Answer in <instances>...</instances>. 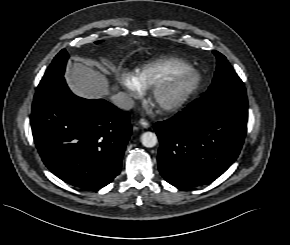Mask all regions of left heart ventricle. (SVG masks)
Segmentation results:
<instances>
[{"label": "left heart ventricle", "instance_id": "obj_1", "mask_svg": "<svg viewBox=\"0 0 290 245\" xmlns=\"http://www.w3.org/2000/svg\"><path fill=\"white\" fill-rule=\"evenodd\" d=\"M188 80L185 79L183 80L177 87L170 89L168 91H166L163 95H162V100L164 102H169L172 99H174L177 95H179V93L185 88V86L188 84Z\"/></svg>", "mask_w": 290, "mask_h": 245}]
</instances>
